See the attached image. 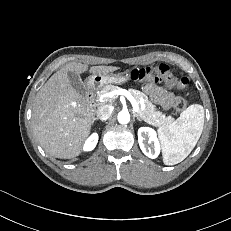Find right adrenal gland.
Segmentation results:
<instances>
[{
    "instance_id": "right-adrenal-gland-1",
    "label": "right adrenal gland",
    "mask_w": 231,
    "mask_h": 231,
    "mask_svg": "<svg viewBox=\"0 0 231 231\" xmlns=\"http://www.w3.org/2000/svg\"><path fill=\"white\" fill-rule=\"evenodd\" d=\"M96 120H98V118H94L93 121H92V123H94Z\"/></svg>"
}]
</instances>
